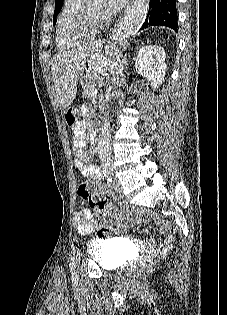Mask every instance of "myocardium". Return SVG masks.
<instances>
[{
  "label": "myocardium",
  "mask_w": 227,
  "mask_h": 315,
  "mask_svg": "<svg viewBox=\"0 0 227 315\" xmlns=\"http://www.w3.org/2000/svg\"><path fill=\"white\" fill-rule=\"evenodd\" d=\"M105 24L104 18L92 15L88 8V0H83L74 19L72 29L75 35L82 33H96Z\"/></svg>",
  "instance_id": "1"
}]
</instances>
